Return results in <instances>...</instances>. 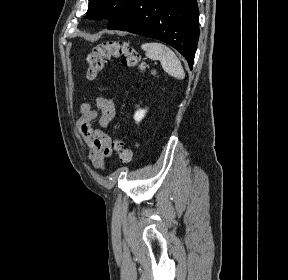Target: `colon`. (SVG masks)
Here are the masks:
<instances>
[{
  "instance_id": "colon-1",
  "label": "colon",
  "mask_w": 288,
  "mask_h": 280,
  "mask_svg": "<svg viewBox=\"0 0 288 280\" xmlns=\"http://www.w3.org/2000/svg\"><path fill=\"white\" fill-rule=\"evenodd\" d=\"M112 58H119L124 66L137 68L140 71L147 69V64L141 59L138 51L123 40H109L97 45L87 57V78L95 79ZM113 149L118 153L123 163L129 164L133 154L126 148L121 139L112 142Z\"/></svg>"
}]
</instances>
